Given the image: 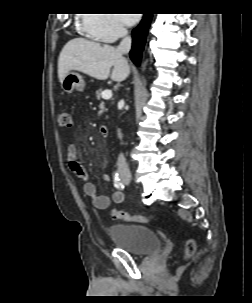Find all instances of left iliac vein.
Here are the masks:
<instances>
[{
  "instance_id": "left-iliac-vein-1",
  "label": "left iliac vein",
  "mask_w": 252,
  "mask_h": 303,
  "mask_svg": "<svg viewBox=\"0 0 252 303\" xmlns=\"http://www.w3.org/2000/svg\"><path fill=\"white\" fill-rule=\"evenodd\" d=\"M124 183H125V184H128V182H127V181H125V180H124Z\"/></svg>"
}]
</instances>
